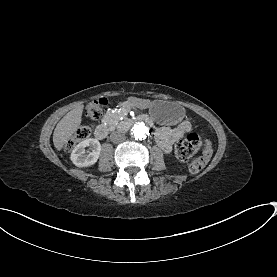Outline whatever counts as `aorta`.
Segmentation results:
<instances>
[{"label": "aorta", "instance_id": "762f6f07", "mask_svg": "<svg viewBox=\"0 0 277 277\" xmlns=\"http://www.w3.org/2000/svg\"><path fill=\"white\" fill-rule=\"evenodd\" d=\"M149 134V128L143 122H137L133 125L131 129V135L136 140H142Z\"/></svg>", "mask_w": 277, "mask_h": 277}]
</instances>
